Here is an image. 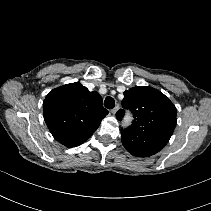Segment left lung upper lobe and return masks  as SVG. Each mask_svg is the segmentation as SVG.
<instances>
[{"instance_id": "obj_1", "label": "left lung upper lobe", "mask_w": 211, "mask_h": 211, "mask_svg": "<svg viewBox=\"0 0 211 211\" xmlns=\"http://www.w3.org/2000/svg\"><path fill=\"white\" fill-rule=\"evenodd\" d=\"M123 108L133 113L132 125L121 130L123 146L138 157H149L159 152L169 141L176 126V107L159 90L133 87L124 92ZM124 110L116 113L122 120Z\"/></svg>"}]
</instances>
